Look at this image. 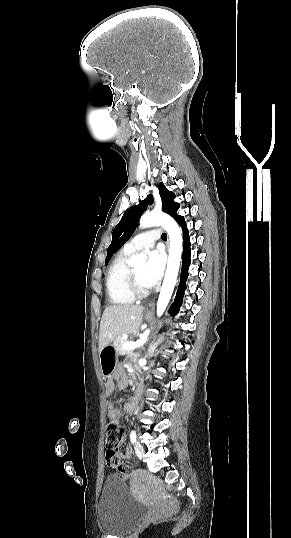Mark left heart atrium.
I'll list each match as a JSON object with an SVG mask.
<instances>
[{"label": "left heart atrium", "mask_w": 291, "mask_h": 538, "mask_svg": "<svg viewBox=\"0 0 291 538\" xmlns=\"http://www.w3.org/2000/svg\"><path fill=\"white\" fill-rule=\"evenodd\" d=\"M164 267V255L158 250L151 251L144 270V280L148 287H153L159 282L163 275Z\"/></svg>", "instance_id": "1"}]
</instances>
